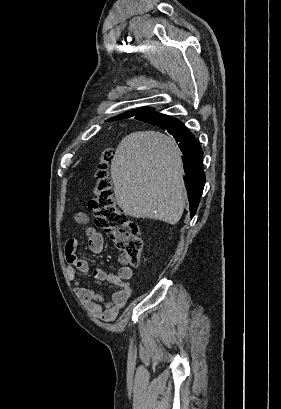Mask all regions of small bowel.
<instances>
[{"label": "small bowel", "mask_w": 281, "mask_h": 409, "mask_svg": "<svg viewBox=\"0 0 281 409\" xmlns=\"http://www.w3.org/2000/svg\"><path fill=\"white\" fill-rule=\"evenodd\" d=\"M76 220L81 224H88V218L79 213ZM85 234L88 240V246L92 253L101 254L103 251V237L93 227L87 226ZM78 240L75 238L68 239L65 244L66 260L68 263L67 275L71 280L76 279V273H89L91 266L88 261L79 259L76 256ZM93 277L99 282H109L117 287L116 291L110 298H105L95 290L88 288L77 282L74 290L77 296L82 300L84 305L92 314L104 321L114 320L121 309L126 305L132 296V286L130 280L134 276L132 267L123 265L116 273L108 272L102 268L92 270Z\"/></svg>", "instance_id": "small-bowel-1"}]
</instances>
